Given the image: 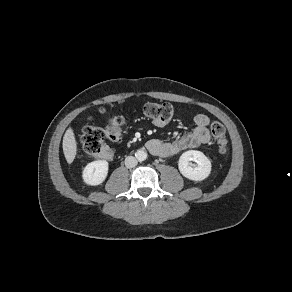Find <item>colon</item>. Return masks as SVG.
Masks as SVG:
<instances>
[{
    "label": "colon",
    "instance_id": "obj_1",
    "mask_svg": "<svg viewBox=\"0 0 292 292\" xmlns=\"http://www.w3.org/2000/svg\"><path fill=\"white\" fill-rule=\"evenodd\" d=\"M176 113L175 108L169 103L150 102L144 105L143 114L152 120L168 121ZM122 116H114L105 127L95 124L86 125L82 129L81 143L84 151L89 155H103L104 159L111 157V152L106 150L105 141L118 143L122 140ZM211 135L217 144L219 153L225 154L228 150V138L225 127L221 123H213Z\"/></svg>",
    "mask_w": 292,
    "mask_h": 292
}]
</instances>
